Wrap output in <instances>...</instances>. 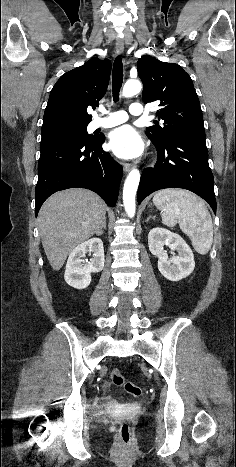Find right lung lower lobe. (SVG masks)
<instances>
[{
	"label": "right lung lower lobe",
	"instance_id": "right-lung-lower-lobe-1",
	"mask_svg": "<svg viewBox=\"0 0 236 467\" xmlns=\"http://www.w3.org/2000/svg\"><path fill=\"white\" fill-rule=\"evenodd\" d=\"M105 137L62 139L41 144L38 182L35 188V215L53 193L74 187L87 188L114 207L123 169L102 149Z\"/></svg>",
	"mask_w": 236,
	"mask_h": 467
}]
</instances>
